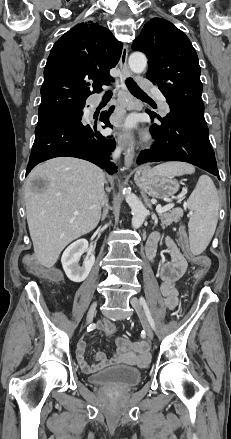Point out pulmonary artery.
<instances>
[{
    "mask_svg": "<svg viewBox=\"0 0 231 439\" xmlns=\"http://www.w3.org/2000/svg\"><path fill=\"white\" fill-rule=\"evenodd\" d=\"M150 91L158 98L160 106H161L164 114H167L169 112V106L166 102L165 97L162 95V93L157 88H150Z\"/></svg>",
    "mask_w": 231,
    "mask_h": 439,
    "instance_id": "e3ab8cb5",
    "label": "pulmonary artery"
}]
</instances>
